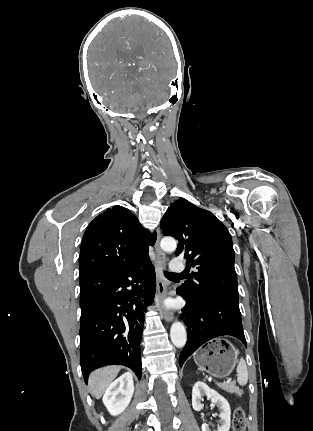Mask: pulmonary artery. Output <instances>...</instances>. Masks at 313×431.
Listing matches in <instances>:
<instances>
[{"mask_svg":"<svg viewBox=\"0 0 313 431\" xmlns=\"http://www.w3.org/2000/svg\"><path fill=\"white\" fill-rule=\"evenodd\" d=\"M170 269L172 272L181 273L184 270V264L180 259L175 258L170 263Z\"/></svg>","mask_w":313,"mask_h":431,"instance_id":"pulmonary-artery-1","label":"pulmonary artery"}]
</instances>
